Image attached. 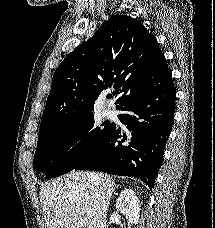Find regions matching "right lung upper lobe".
Masks as SVG:
<instances>
[{
  "label": "right lung upper lobe",
  "instance_id": "obj_1",
  "mask_svg": "<svg viewBox=\"0 0 215 228\" xmlns=\"http://www.w3.org/2000/svg\"><path fill=\"white\" fill-rule=\"evenodd\" d=\"M156 38L137 19L114 15L56 69L40 128L94 114L95 100L114 84L117 109L142 82L169 77Z\"/></svg>",
  "mask_w": 215,
  "mask_h": 228
}]
</instances>
